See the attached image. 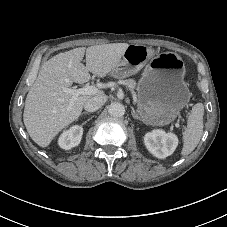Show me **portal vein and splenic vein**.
<instances>
[{"instance_id": "18ae733b", "label": "portal vein and splenic vein", "mask_w": 227, "mask_h": 227, "mask_svg": "<svg viewBox=\"0 0 227 227\" xmlns=\"http://www.w3.org/2000/svg\"><path fill=\"white\" fill-rule=\"evenodd\" d=\"M65 92L72 95L71 98V102L70 104H72L79 95H94L98 92V88L95 86H89L86 85L83 88H79V89H71V88H66ZM175 127L176 128H180V125L178 122L175 123Z\"/></svg>"}]
</instances>
